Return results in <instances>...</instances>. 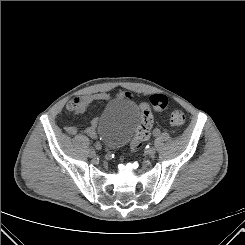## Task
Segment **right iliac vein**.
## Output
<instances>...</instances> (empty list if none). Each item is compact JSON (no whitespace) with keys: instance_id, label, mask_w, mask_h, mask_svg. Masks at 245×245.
<instances>
[{"instance_id":"obj_1","label":"right iliac vein","mask_w":245,"mask_h":245,"mask_svg":"<svg viewBox=\"0 0 245 245\" xmlns=\"http://www.w3.org/2000/svg\"><path fill=\"white\" fill-rule=\"evenodd\" d=\"M88 155H89V157H91V158L95 157L96 152H95L94 148L91 147V148L88 150Z\"/></svg>"}]
</instances>
